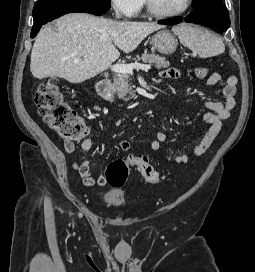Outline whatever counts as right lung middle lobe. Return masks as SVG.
<instances>
[{
  "instance_id": "obj_1",
  "label": "right lung middle lobe",
  "mask_w": 255,
  "mask_h": 272,
  "mask_svg": "<svg viewBox=\"0 0 255 272\" xmlns=\"http://www.w3.org/2000/svg\"><path fill=\"white\" fill-rule=\"evenodd\" d=\"M42 1H74L95 8L102 13H106L111 6V0H39V2Z\"/></svg>"
}]
</instances>
